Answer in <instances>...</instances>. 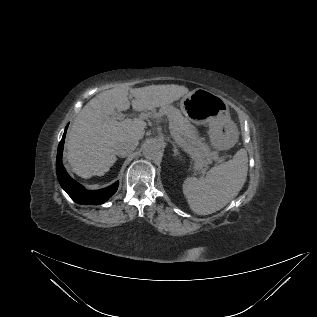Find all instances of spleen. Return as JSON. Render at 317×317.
Returning <instances> with one entry per match:
<instances>
[{"mask_svg": "<svg viewBox=\"0 0 317 317\" xmlns=\"http://www.w3.org/2000/svg\"><path fill=\"white\" fill-rule=\"evenodd\" d=\"M247 171V152L240 149L231 160L212 167L205 177L185 179L183 193L191 210L208 215L225 207L242 189Z\"/></svg>", "mask_w": 317, "mask_h": 317, "instance_id": "1", "label": "spleen"}]
</instances>
